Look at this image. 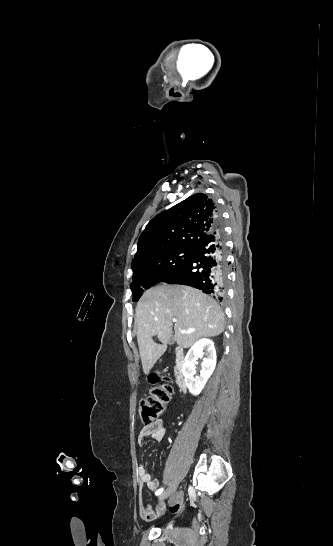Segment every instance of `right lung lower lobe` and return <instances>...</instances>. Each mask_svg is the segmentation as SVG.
<instances>
[{
  "label": "right lung lower lobe",
  "mask_w": 333,
  "mask_h": 546,
  "mask_svg": "<svg viewBox=\"0 0 333 546\" xmlns=\"http://www.w3.org/2000/svg\"><path fill=\"white\" fill-rule=\"evenodd\" d=\"M228 275L227 252L220 226L194 246L191 256L162 282L183 284L222 299Z\"/></svg>",
  "instance_id": "98d812e1"
}]
</instances>
